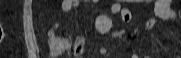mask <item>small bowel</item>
I'll use <instances>...</instances> for the list:
<instances>
[{
  "instance_id": "obj_1",
  "label": "small bowel",
  "mask_w": 181,
  "mask_h": 58,
  "mask_svg": "<svg viewBox=\"0 0 181 58\" xmlns=\"http://www.w3.org/2000/svg\"><path fill=\"white\" fill-rule=\"evenodd\" d=\"M80 4H81L80 0H64L61 3V12L62 13L77 12ZM111 11L114 14L120 15L125 22L130 21V18H131L130 12L127 9L122 8V6L119 3L113 4L111 7ZM154 11H155L156 17L163 20L177 21L181 19V15H178L175 11H173L170 8V0H157L155 2ZM155 23H156L155 18L149 19L146 24L145 31L150 32L152 28L154 27ZM58 27H59V23L55 22L48 31V37L50 41L52 42L53 49L57 53H61L65 51L66 49H68L69 43L64 38L56 37L55 32L58 29ZM134 33L139 35L141 32L139 29H134ZM99 51L103 55L107 53L106 48H100ZM133 58H138L137 54H135Z\"/></svg>"
}]
</instances>
